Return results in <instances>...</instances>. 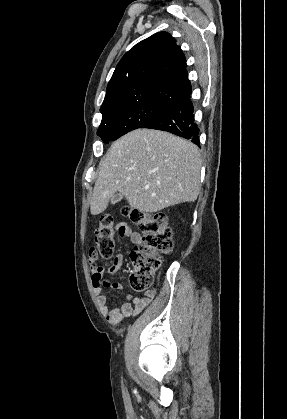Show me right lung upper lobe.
I'll return each mask as SVG.
<instances>
[{"instance_id": "1", "label": "right lung upper lobe", "mask_w": 287, "mask_h": 419, "mask_svg": "<svg viewBox=\"0 0 287 419\" xmlns=\"http://www.w3.org/2000/svg\"><path fill=\"white\" fill-rule=\"evenodd\" d=\"M185 56L167 32L156 33L129 50L108 83L102 114L137 103L168 105L192 92Z\"/></svg>"}]
</instances>
